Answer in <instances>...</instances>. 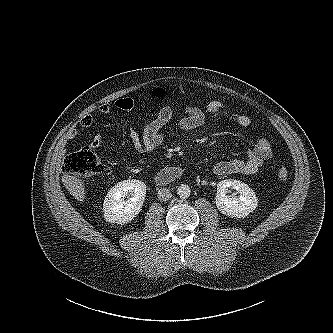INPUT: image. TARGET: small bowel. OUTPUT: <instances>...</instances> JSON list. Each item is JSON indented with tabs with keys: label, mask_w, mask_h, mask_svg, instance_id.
Returning <instances> with one entry per match:
<instances>
[{
	"label": "small bowel",
	"mask_w": 333,
	"mask_h": 333,
	"mask_svg": "<svg viewBox=\"0 0 333 333\" xmlns=\"http://www.w3.org/2000/svg\"><path fill=\"white\" fill-rule=\"evenodd\" d=\"M122 111H132L137 107V102L132 98H120L115 101L114 105L106 103L99 107L102 114H108L113 108ZM184 115L175 125V129L179 131H192L204 125L206 114L196 106H185ZM206 113L214 117L228 118L242 127L251 125V118L240 112H231L226 109L223 102L214 100L207 104ZM173 117V110L169 105L163 106L152 120H148L143 124L142 131L139 133L134 128L128 129V138L133 149L138 154H149L160 146L166 135L172 132L170 123ZM94 122L92 115H86L80 120V125L84 128L90 127ZM78 135L77 128H71L64 136V142L74 140ZM101 143V136L96 135L93 139V146L98 147ZM273 153L272 144L266 135H260L254 146L248 151L245 159L232 158L216 163L213 172L216 175L229 174H254L261 166L271 158Z\"/></svg>",
	"instance_id": "1"
}]
</instances>
